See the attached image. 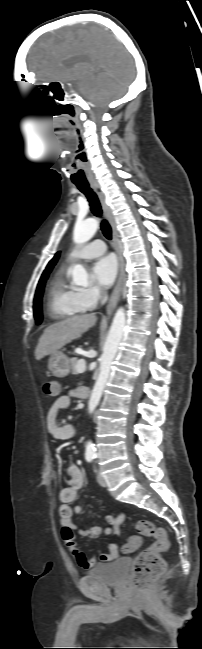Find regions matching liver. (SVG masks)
<instances>
[{
  "label": "liver",
  "instance_id": "obj_1",
  "mask_svg": "<svg viewBox=\"0 0 202 649\" xmlns=\"http://www.w3.org/2000/svg\"><path fill=\"white\" fill-rule=\"evenodd\" d=\"M96 322L94 313L67 318L47 327L35 349L36 360L56 353L60 348L79 338Z\"/></svg>",
  "mask_w": 202,
  "mask_h": 649
}]
</instances>
